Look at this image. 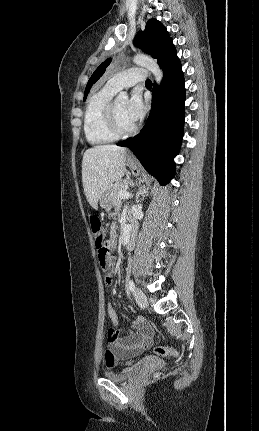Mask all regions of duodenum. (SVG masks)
<instances>
[{
    "mask_svg": "<svg viewBox=\"0 0 259 431\" xmlns=\"http://www.w3.org/2000/svg\"><path fill=\"white\" fill-rule=\"evenodd\" d=\"M135 236H136V225L133 222H131L126 227L125 234H124L125 248L127 250L132 249V247L134 246Z\"/></svg>",
    "mask_w": 259,
    "mask_h": 431,
    "instance_id": "obj_1",
    "label": "duodenum"
}]
</instances>
